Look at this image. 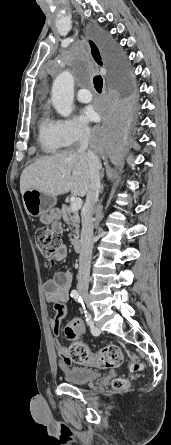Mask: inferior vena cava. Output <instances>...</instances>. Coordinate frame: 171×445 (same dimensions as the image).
Returning <instances> with one entry per match:
<instances>
[{
	"mask_svg": "<svg viewBox=\"0 0 171 445\" xmlns=\"http://www.w3.org/2000/svg\"><path fill=\"white\" fill-rule=\"evenodd\" d=\"M90 132L87 127L80 130V152H85L87 156L90 171V188L87 192L86 202L83 208L82 231H81V249L79 255V270L77 275L78 288L80 291L87 292L90 276V264L93 249V209L98 201L100 185L101 163L98 156L89 149Z\"/></svg>",
	"mask_w": 171,
	"mask_h": 445,
	"instance_id": "602c4592",
	"label": "inferior vena cava"
}]
</instances>
